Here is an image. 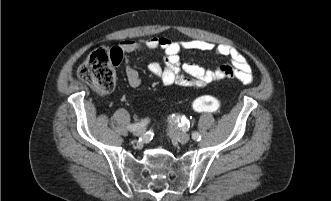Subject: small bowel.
Wrapping results in <instances>:
<instances>
[{"instance_id": "1", "label": "small bowel", "mask_w": 331, "mask_h": 201, "mask_svg": "<svg viewBox=\"0 0 331 201\" xmlns=\"http://www.w3.org/2000/svg\"><path fill=\"white\" fill-rule=\"evenodd\" d=\"M120 51L124 54L134 53L143 49H161L164 53V64L153 61L149 71L159 78L164 85H178L186 88H202L208 84L234 78L244 84L253 81L252 69L246 57L235 47L227 44L215 45L205 40H171L165 37H150L145 39H129L120 43ZM189 51H213L217 55L228 57L230 64L213 69H205L191 62H182L180 54ZM125 75L131 88H138L141 79L138 71L133 68L125 56Z\"/></svg>"}]
</instances>
